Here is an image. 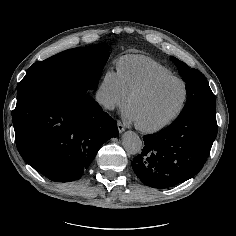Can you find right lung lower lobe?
Here are the masks:
<instances>
[{
    "mask_svg": "<svg viewBox=\"0 0 236 236\" xmlns=\"http://www.w3.org/2000/svg\"><path fill=\"white\" fill-rule=\"evenodd\" d=\"M13 126L23 159L57 182L78 179L117 124L82 86L32 94L17 102Z\"/></svg>",
    "mask_w": 236,
    "mask_h": 236,
    "instance_id": "obj_1",
    "label": "right lung lower lobe"
}]
</instances>
